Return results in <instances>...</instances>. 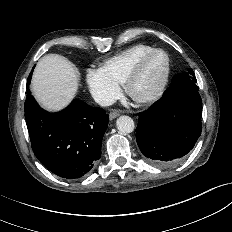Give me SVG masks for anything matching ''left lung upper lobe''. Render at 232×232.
<instances>
[{"label": "left lung upper lobe", "instance_id": "obj_1", "mask_svg": "<svg viewBox=\"0 0 232 232\" xmlns=\"http://www.w3.org/2000/svg\"><path fill=\"white\" fill-rule=\"evenodd\" d=\"M177 78L179 79V81L183 87H195V88H197V86H196L197 80H196L195 74H194L192 69H189L188 72L178 74Z\"/></svg>", "mask_w": 232, "mask_h": 232}]
</instances>
